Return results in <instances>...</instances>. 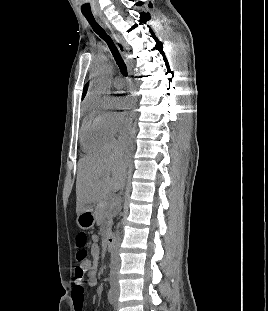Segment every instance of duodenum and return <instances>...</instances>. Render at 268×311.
I'll return each instance as SVG.
<instances>
[{
    "label": "duodenum",
    "instance_id": "obj_1",
    "mask_svg": "<svg viewBox=\"0 0 268 311\" xmlns=\"http://www.w3.org/2000/svg\"><path fill=\"white\" fill-rule=\"evenodd\" d=\"M115 239L113 235H108L105 238V246L108 250H111L114 247Z\"/></svg>",
    "mask_w": 268,
    "mask_h": 311
}]
</instances>
